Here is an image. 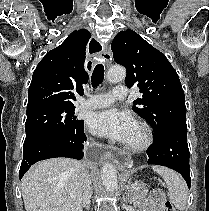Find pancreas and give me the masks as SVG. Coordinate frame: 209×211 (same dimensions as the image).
<instances>
[{"mask_svg": "<svg viewBox=\"0 0 209 211\" xmlns=\"http://www.w3.org/2000/svg\"><path fill=\"white\" fill-rule=\"evenodd\" d=\"M148 194V188L142 182H136L131 187L129 192L130 203L134 205V207L140 206L141 202L145 199Z\"/></svg>", "mask_w": 209, "mask_h": 211, "instance_id": "pancreas-1", "label": "pancreas"}]
</instances>
